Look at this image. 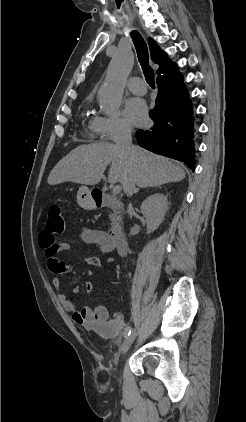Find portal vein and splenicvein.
Instances as JSON below:
<instances>
[{
	"label": "portal vein and splenic vein",
	"instance_id": "portal-vein-and-splenic-vein-1",
	"mask_svg": "<svg viewBox=\"0 0 246 422\" xmlns=\"http://www.w3.org/2000/svg\"><path fill=\"white\" fill-rule=\"evenodd\" d=\"M121 186L120 185H116L114 188H113V194H119L120 192H121Z\"/></svg>",
	"mask_w": 246,
	"mask_h": 422
}]
</instances>
